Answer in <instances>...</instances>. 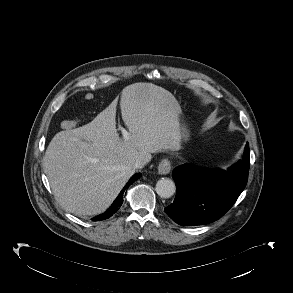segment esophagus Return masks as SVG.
<instances>
[{
    "label": "esophagus",
    "mask_w": 293,
    "mask_h": 293,
    "mask_svg": "<svg viewBox=\"0 0 293 293\" xmlns=\"http://www.w3.org/2000/svg\"><path fill=\"white\" fill-rule=\"evenodd\" d=\"M171 170V163L168 159H162L158 165V173L161 175H166Z\"/></svg>",
    "instance_id": "34e87169"
}]
</instances>
